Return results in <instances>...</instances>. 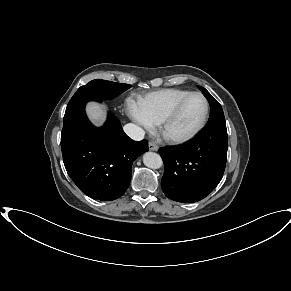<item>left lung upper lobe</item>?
<instances>
[{
    "label": "left lung upper lobe",
    "instance_id": "1",
    "mask_svg": "<svg viewBox=\"0 0 291 291\" xmlns=\"http://www.w3.org/2000/svg\"><path fill=\"white\" fill-rule=\"evenodd\" d=\"M210 104V118L207 125L226 124L224 113L219 102L203 87L198 86Z\"/></svg>",
    "mask_w": 291,
    "mask_h": 291
}]
</instances>
